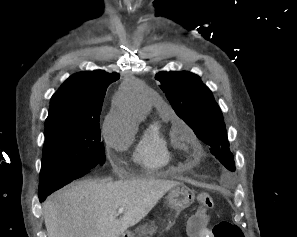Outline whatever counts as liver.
<instances>
[{
    "mask_svg": "<svg viewBox=\"0 0 297 237\" xmlns=\"http://www.w3.org/2000/svg\"><path fill=\"white\" fill-rule=\"evenodd\" d=\"M179 184L158 179L73 183L43 204L48 237H120ZM119 208L124 213L117 219Z\"/></svg>",
    "mask_w": 297,
    "mask_h": 237,
    "instance_id": "1",
    "label": "liver"
}]
</instances>
